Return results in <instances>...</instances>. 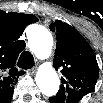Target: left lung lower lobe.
<instances>
[{
	"mask_svg": "<svg viewBox=\"0 0 103 103\" xmlns=\"http://www.w3.org/2000/svg\"><path fill=\"white\" fill-rule=\"evenodd\" d=\"M83 96H85V95H83L82 93L77 92V91L69 92V99H70L71 103L79 102ZM52 99H53V97L50 98L49 100H52Z\"/></svg>",
	"mask_w": 103,
	"mask_h": 103,
	"instance_id": "1",
	"label": "left lung lower lobe"
}]
</instances>
